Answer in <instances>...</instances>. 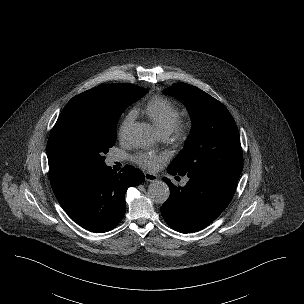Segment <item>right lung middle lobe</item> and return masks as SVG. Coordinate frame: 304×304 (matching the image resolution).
<instances>
[{"mask_svg":"<svg viewBox=\"0 0 304 304\" xmlns=\"http://www.w3.org/2000/svg\"><path fill=\"white\" fill-rule=\"evenodd\" d=\"M147 92L145 88L128 84L117 99L71 105L62 111L53 128L55 143L87 169L105 165L104 155L116 142L120 114Z\"/></svg>","mask_w":304,"mask_h":304,"instance_id":"dd1d6c3e","label":"right lung middle lobe"}]
</instances>
